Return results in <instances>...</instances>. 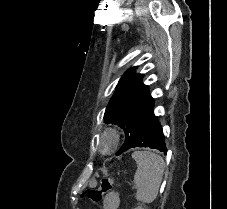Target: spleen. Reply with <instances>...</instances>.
<instances>
[{"label": "spleen", "instance_id": "3e777b00", "mask_svg": "<svg viewBox=\"0 0 227 209\" xmlns=\"http://www.w3.org/2000/svg\"><path fill=\"white\" fill-rule=\"evenodd\" d=\"M132 159L137 163V171L134 177L137 189L136 199L141 203H152L156 199L163 179L165 163L156 153L135 151Z\"/></svg>", "mask_w": 227, "mask_h": 209}]
</instances>
